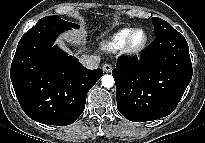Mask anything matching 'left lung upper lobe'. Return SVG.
<instances>
[{
  "label": "left lung upper lobe",
  "instance_id": "obj_1",
  "mask_svg": "<svg viewBox=\"0 0 205 143\" xmlns=\"http://www.w3.org/2000/svg\"><path fill=\"white\" fill-rule=\"evenodd\" d=\"M152 21L155 27L156 37L175 31L171 25L161 18L153 17Z\"/></svg>",
  "mask_w": 205,
  "mask_h": 143
}]
</instances>
